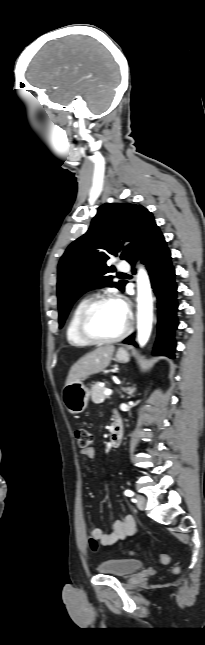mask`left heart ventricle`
I'll return each instance as SVG.
<instances>
[{
    "label": "left heart ventricle",
    "instance_id": "b2bd125f",
    "mask_svg": "<svg viewBox=\"0 0 205 645\" xmlns=\"http://www.w3.org/2000/svg\"><path fill=\"white\" fill-rule=\"evenodd\" d=\"M127 317L115 301L105 302L96 307L90 318L92 332L101 337H112L123 330Z\"/></svg>",
    "mask_w": 205,
    "mask_h": 645
}]
</instances>
